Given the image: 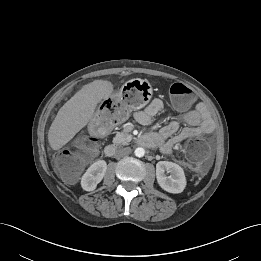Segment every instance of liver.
<instances>
[{
  "label": "liver",
  "instance_id": "6515ba94",
  "mask_svg": "<svg viewBox=\"0 0 261 261\" xmlns=\"http://www.w3.org/2000/svg\"><path fill=\"white\" fill-rule=\"evenodd\" d=\"M113 84L94 80L84 85L58 111L48 132V142L53 150L67 144L93 117L97 104L110 97Z\"/></svg>",
  "mask_w": 261,
  "mask_h": 261
}]
</instances>
